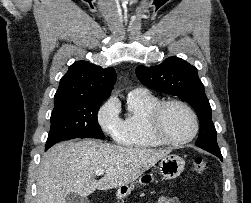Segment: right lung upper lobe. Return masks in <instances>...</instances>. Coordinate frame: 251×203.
<instances>
[{
    "mask_svg": "<svg viewBox=\"0 0 251 203\" xmlns=\"http://www.w3.org/2000/svg\"><path fill=\"white\" fill-rule=\"evenodd\" d=\"M116 73L86 61L72 64L61 78L54 96L55 106L80 100H105L110 96Z\"/></svg>",
    "mask_w": 251,
    "mask_h": 203,
    "instance_id": "1",
    "label": "right lung upper lobe"
}]
</instances>
